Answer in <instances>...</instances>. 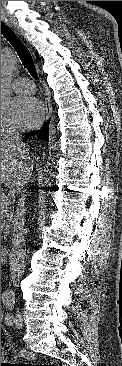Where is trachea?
Instances as JSON below:
<instances>
[{
  "label": "trachea",
  "mask_w": 122,
  "mask_h": 366,
  "mask_svg": "<svg viewBox=\"0 0 122 366\" xmlns=\"http://www.w3.org/2000/svg\"><path fill=\"white\" fill-rule=\"evenodd\" d=\"M1 34L6 38V40L14 47L18 56L20 57L22 64L27 68L30 75L39 80L38 73L33 62L30 51L26 45L21 41V39L15 34V32L1 21Z\"/></svg>",
  "instance_id": "3493384b"
}]
</instances>
